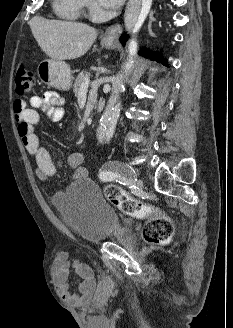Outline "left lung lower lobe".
I'll return each mask as SVG.
<instances>
[{"mask_svg":"<svg viewBox=\"0 0 233 328\" xmlns=\"http://www.w3.org/2000/svg\"><path fill=\"white\" fill-rule=\"evenodd\" d=\"M126 40H127V37H126L125 35H122L121 38H120V41H121V43H122L123 45H125ZM140 54H141L142 56L150 57L151 59H153V58L155 57V54H153V53H151V52H148V51H146V50L141 51ZM163 64L167 65V64H166V61H164Z\"/></svg>","mask_w":233,"mask_h":328,"instance_id":"obj_1","label":"left lung lower lobe"}]
</instances>
